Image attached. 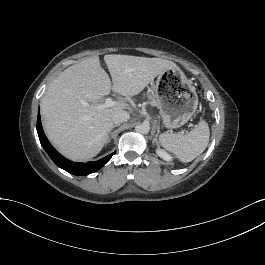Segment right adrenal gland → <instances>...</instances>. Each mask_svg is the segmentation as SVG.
<instances>
[{
	"mask_svg": "<svg viewBox=\"0 0 265 265\" xmlns=\"http://www.w3.org/2000/svg\"><path fill=\"white\" fill-rule=\"evenodd\" d=\"M120 126L119 124H116L113 126V128ZM113 128L111 130H113Z\"/></svg>",
	"mask_w": 265,
	"mask_h": 265,
	"instance_id": "obj_1",
	"label": "right adrenal gland"
}]
</instances>
